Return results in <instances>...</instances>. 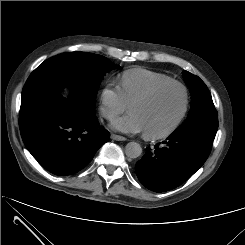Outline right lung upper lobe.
I'll list each match as a JSON object with an SVG mask.
<instances>
[{
	"label": "right lung upper lobe",
	"instance_id": "right-lung-upper-lobe-1",
	"mask_svg": "<svg viewBox=\"0 0 245 245\" xmlns=\"http://www.w3.org/2000/svg\"><path fill=\"white\" fill-rule=\"evenodd\" d=\"M29 81H34L37 85L56 84L66 81V74L54 67L50 62L42 63L29 76ZM66 102H57L61 104ZM55 104V105H56Z\"/></svg>",
	"mask_w": 245,
	"mask_h": 245
}]
</instances>
